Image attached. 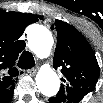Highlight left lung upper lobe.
<instances>
[{
	"label": "left lung upper lobe",
	"mask_w": 103,
	"mask_h": 103,
	"mask_svg": "<svg viewBox=\"0 0 103 103\" xmlns=\"http://www.w3.org/2000/svg\"><path fill=\"white\" fill-rule=\"evenodd\" d=\"M52 29L57 31L53 66L61 69L63 84L51 103H70L68 90L88 94L95 88L100 69L91 46L75 27L56 20Z\"/></svg>",
	"instance_id": "obj_1"
}]
</instances>
